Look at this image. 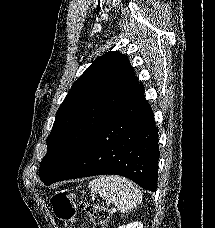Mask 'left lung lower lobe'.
Masks as SVG:
<instances>
[{
    "label": "left lung lower lobe",
    "mask_w": 215,
    "mask_h": 228,
    "mask_svg": "<svg viewBox=\"0 0 215 228\" xmlns=\"http://www.w3.org/2000/svg\"><path fill=\"white\" fill-rule=\"evenodd\" d=\"M158 128L140 84L130 98L99 128L54 182L115 174L156 192Z\"/></svg>",
    "instance_id": "0a47b994"
}]
</instances>
